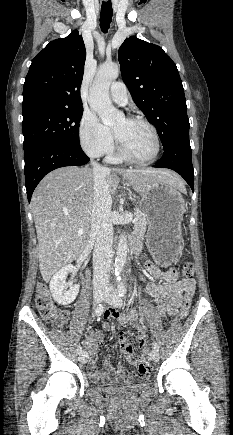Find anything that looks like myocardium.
I'll return each mask as SVG.
<instances>
[{
    "label": "myocardium",
    "mask_w": 233,
    "mask_h": 435,
    "mask_svg": "<svg viewBox=\"0 0 233 435\" xmlns=\"http://www.w3.org/2000/svg\"><path fill=\"white\" fill-rule=\"evenodd\" d=\"M125 119L130 121V122H140V123H143L144 125H146L152 133L154 143H155V149H154V153L152 154V156L147 160H138L136 158H133L131 155H129L127 153V151L123 147L117 134L114 131H112L114 134L115 140H116L117 150H118L119 156L121 157L122 160H124L128 163L134 164V165L146 166V165L152 164L153 162L156 161V159L158 158L159 153H160V138H159V134L157 132V129L149 120H147L141 116L131 115V116L126 117Z\"/></svg>",
    "instance_id": "obj_1"
}]
</instances>
